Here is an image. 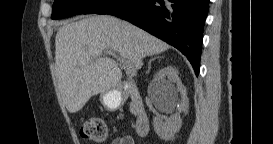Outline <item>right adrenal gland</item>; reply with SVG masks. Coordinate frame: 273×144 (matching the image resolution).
Segmentation results:
<instances>
[{
    "mask_svg": "<svg viewBox=\"0 0 273 144\" xmlns=\"http://www.w3.org/2000/svg\"><path fill=\"white\" fill-rule=\"evenodd\" d=\"M154 59H156V57L150 59V61H149V63H148V72L150 71V68H151L150 64H151V62H152Z\"/></svg>",
    "mask_w": 273,
    "mask_h": 144,
    "instance_id": "2a0ac1e0",
    "label": "right adrenal gland"
}]
</instances>
